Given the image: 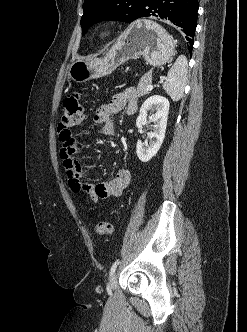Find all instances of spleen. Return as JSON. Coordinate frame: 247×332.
Here are the masks:
<instances>
[{"label":"spleen","instance_id":"obj_1","mask_svg":"<svg viewBox=\"0 0 247 332\" xmlns=\"http://www.w3.org/2000/svg\"><path fill=\"white\" fill-rule=\"evenodd\" d=\"M187 72V59L184 55H180L168 71L167 80L163 83V89L173 101H179L183 96Z\"/></svg>","mask_w":247,"mask_h":332}]
</instances>
